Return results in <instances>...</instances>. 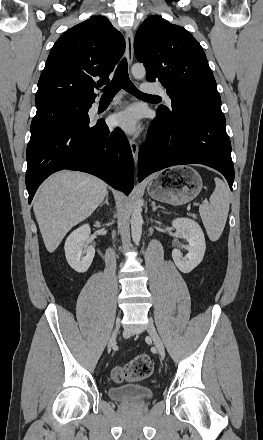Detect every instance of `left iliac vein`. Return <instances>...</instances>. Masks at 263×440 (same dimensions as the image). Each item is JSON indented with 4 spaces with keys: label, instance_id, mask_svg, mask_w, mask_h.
Returning <instances> with one entry per match:
<instances>
[{
    "label": "left iliac vein",
    "instance_id": "4c4485c4",
    "mask_svg": "<svg viewBox=\"0 0 263 440\" xmlns=\"http://www.w3.org/2000/svg\"><path fill=\"white\" fill-rule=\"evenodd\" d=\"M147 332L150 335V337L153 339L154 345H155L158 353L162 357H164L165 356V349H164L163 342H162L160 336L158 335V333H157L154 325L152 324V322L148 323Z\"/></svg>",
    "mask_w": 263,
    "mask_h": 440
}]
</instances>
